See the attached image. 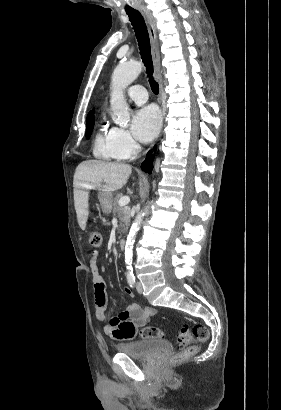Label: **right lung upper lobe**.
I'll list each match as a JSON object with an SVG mask.
<instances>
[{
    "label": "right lung upper lobe",
    "instance_id": "obj_1",
    "mask_svg": "<svg viewBox=\"0 0 281 410\" xmlns=\"http://www.w3.org/2000/svg\"><path fill=\"white\" fill-rule=\"evenodd\" d=\"M91 116H94V112H93V111H90V112H89L87 118H88V117H91Z\"/></svg>",
    "mask_w": 281,
    "mask_h": 410
}]
</instances>
